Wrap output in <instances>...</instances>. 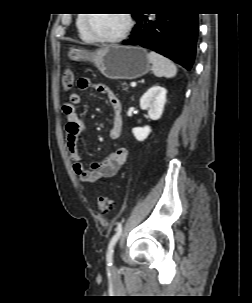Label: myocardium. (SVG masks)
<instances>
[{
  "instance_id": "f54148a6",
  "label": "myocardium",
  "mask_w": 252,
  "mask_h": 303,
  "mask_svg": "<svg viewBox=\"0 0 252 303\" xmlns=\"http://www.w3.org/2000/svg\"><path fill=\"white\" fill-rule=\"evenodd\" d=\"M125 17H126V25L125 28L118 34L113 35V36H101V35H97V34H93L89 28V22H90V17H86L84 18V30L87 34V36L89 37V39L91 40H97V41H103V42H118L122 39H124L129 32L131 31L132 27H133V16L131 13H124Z\"/></svg>"
}]
</instances>
